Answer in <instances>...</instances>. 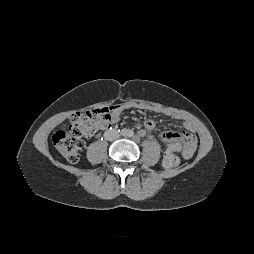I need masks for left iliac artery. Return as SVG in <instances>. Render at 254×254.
<instances>
[{
  "label": "left iliac artery",
  "instance_id": "1",
  "mask_svg": "<svg viewBox=\"0 0 254 254\" xmlns=\"http://www.w3.org/2000/svg\"><path fill=\"white\" fill-rule=\"evenodd\" d=\"M128 136H129V137L134 136V132H133V131H129V132H128Z\"/></svg>",
  "mask_w": 254,
  "mask_h": 254
}]
</instances>
